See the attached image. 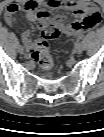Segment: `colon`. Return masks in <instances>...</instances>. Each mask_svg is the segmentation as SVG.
<instances>
[{
  "mask_svg": "<svg viewBox=\"0 0 104 137\" xmlns=\"http://www.w3.org/2000/svg\"><path fill=\"white\" fill-rule=\"evenodd\" d=\"M38 21L42 34L36 42L32 57L43 69L49 70L53 67V56L49 48L48 41L58 38L61 35V32L52 23L51 17L46 11H41L38 13ZM85 21L86 20H83L80 23H84Z\"/></svg>",
  "mask_w": 104,
  "mask_h": 137,
  "instance_id": "colon-1",
  "label": "colon"
}]
</instances>
